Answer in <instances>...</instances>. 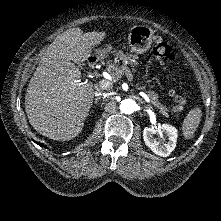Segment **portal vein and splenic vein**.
I'll return each instance as SVG.
<instances>
[{
	"instance_id": "portal-vein-and-splenic-vein-1",
	"label": "portal vein and splenic vein",
	"mask_w": 221,
	"mask_h": 221,
	"mask_svg": "<svg viewBox=\"0 0 221 221\" xmlns=\"http://www.w3.org/2000/svg\"><path fill=\"white\" fill-rule=\"evenodd\" d=\"M128 78L130 79V76H128ZM99 85H100L101 88L107 89V88H110V86L112 85V82L103 79V80H101V81L99 82ZM142 96L144 97V99L146 100V102H149V101H150L149 98H148V96H147L146 94H143Z\"/></svg>"
}]
</instances>
